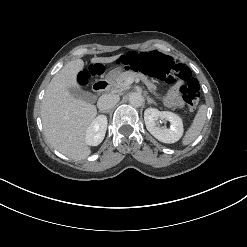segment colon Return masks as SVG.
<instances>
[{
	"instance_id": "5ec220e1",
	"label": "colon",
	"mask_w": 247,
	"mask_h": 247,
	"mask_svg": "<svg viewBox=\"0 0 247 247\" xmlns=\"http://www.w3.org/2000/svg\"><path fill=\"white\" fill-rule=\"evenodd\" d=\"M119 64L126 69L142 72L169 84H179V91L189 110L194 112L197 109L200 102L199 82L192 77L187 66L172 57L157 51L128 52L121 56ZM103 71L104 68L99 64L91 66L81 79L86 80L93 75H100Z\"/></svg>"
}]
</instances>
